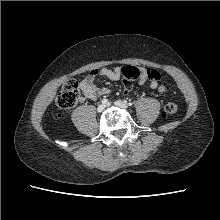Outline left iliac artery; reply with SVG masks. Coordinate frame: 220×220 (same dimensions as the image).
Here are the masks:
<instances>
[{"mask_svg": "<svg viewBox=\"0 0 220 220\" xmlns=\"http://www.w3.org/2000/svg\"><path fill=\"white\" fill-rule=\"evenodd\" d=\"M128 105H129V106H131V105H132V103H128Z\"/></svg>", "mask_w": 220, "mask_h": 220, "instance_id": "left-iliac-artery-1", "label": "left iliac artery"}]
</instances>
